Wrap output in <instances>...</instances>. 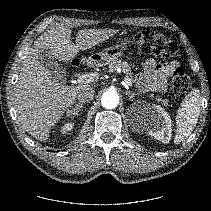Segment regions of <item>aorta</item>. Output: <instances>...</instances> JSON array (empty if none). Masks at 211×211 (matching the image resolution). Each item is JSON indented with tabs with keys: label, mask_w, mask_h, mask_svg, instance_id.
I'll list each match as a JSON object with an SVG mask.
<instances>
[{
	"label": "aorta",
	"mask_w": 211,
	"mask_h": 211,
	"mask_svg": "<svg viewBox=\"0 0 211 211\" xmlns=\"http://www.w3.org/2000/svg\"><path fill=\"white\" fill-rule=\"evenodd\" d=\"M102 106L106 109H114L119 104V96L115 91H107L102 95Z\"/></svg>",
	"instance_id": "obj_1"
}]
</instances>
